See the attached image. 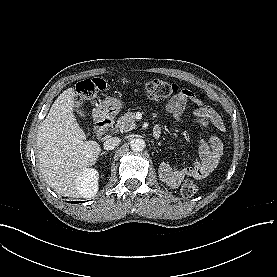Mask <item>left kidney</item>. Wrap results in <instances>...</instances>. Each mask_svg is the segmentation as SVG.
I'll return each mask as SVG.
<instances>
[{"mask_svg":"<svg viewBox=\"0 0 277 277\" xmlns=\"http://www.w3.org/2000/svg\"><path fill=\"white\" fill-rule=\"evenodd\" d=\"M159 177L163 182L167 184H177L181 182L183 178V174L181 172L175 171L173 172L170 168L169 164L162 162L159 166Z\"/></svg>","mask_w":277,"mask_h":277,"instance_id":"left-kidney-1","label":"left kidney"}]
</instances>
